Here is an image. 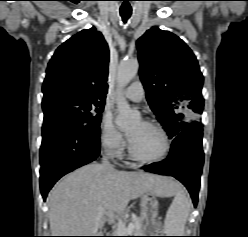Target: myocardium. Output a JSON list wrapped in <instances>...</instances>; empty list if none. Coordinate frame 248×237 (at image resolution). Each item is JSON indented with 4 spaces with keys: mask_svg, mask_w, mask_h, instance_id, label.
Segmentation results:
<instances>
[{
    "mask_svg": "<svg viewBox=\"0 0 248 237\" xmlns=\"http://www.w3.org/2000/svg\"><path fill=\"white\" fill-rule=\"evenodd\" d=\"M142 122L144 124L150 126V127H153L154 129H156L159 132V134L162 136L163 141H164V149L161 152V154H159L156 157H151V158L142 157L135 151V149L133 148L131 142L129 141L128 150H129V154H130L131 158L136 160V161H138V162L148 163V164L162 161L163 159H165L168 156V154H169V152L171 150V141H170L168 133L163 128V126L160 123L156 122V121H153V120H150V119H145Z\"/></svg>",
    "mask_w": 248,
    "mask_h": 237,
    "instance_id": "f54148a6",
    "label": "myocardium"
}]
</instances>
